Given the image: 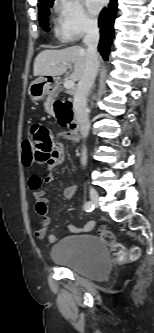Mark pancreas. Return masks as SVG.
Returning <instances> with one entry per match:
<instances>
[{
	"label": "pancreas",
	"instance_id": "cf45deb5",
	"mask_svg": "<svg viewBox=\"0 0 154 333\" xmlns=\"http://www.w3.org/2000/svg\"><path fill=\"white\" fill-rule=\"evenodd\" d=\"M60 91V90H59ZM58 91H52L47 98V102L45 104L46 109L51 112L52 111V103L54 102V98L57 96Z\"/></svg>",
	"mask_w": 154,
	"mask_h": 333
}]
</instances>
